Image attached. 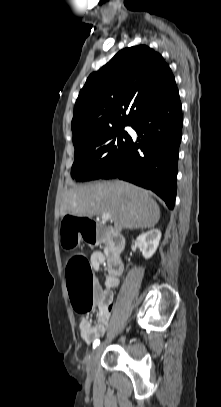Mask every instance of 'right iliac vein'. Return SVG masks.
<instances>
[{"label":"right iliac vein","mask_w":221,"mask_h":407,"mask_svg":"<svg viewBox=\"0 0 221 407\" xmlns=\"http://www.w3.org/2000/svg\"><path fill=\"white\" fill-rule=\"evenodd\" d=\"M102 349H103V344L98 346L95 349V351L93 352L92 357L87 366V371H88L89 375H92L94 373V371L96 369V365H97L100 355L102 353Z\"/></svg>","instance_id":"63e3f726"}]
</instances>
